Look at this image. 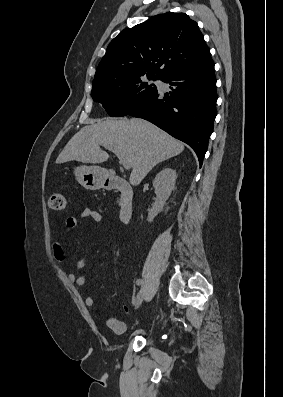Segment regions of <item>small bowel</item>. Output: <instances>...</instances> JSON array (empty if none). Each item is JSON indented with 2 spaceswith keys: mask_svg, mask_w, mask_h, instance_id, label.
<instances>
[{
  "mask_svg": "<svg viewBox=\"0 0 283 397\" xmlns=\"http://www.w3.org/2000/svg\"><path fill=\"white\" fill-rule=\"evenodd\" d=\"M80 219H90L91 221L95 223H100L102 220V215L100 212L93 210L91 208H82L80 210H77L73 215L66 217L62 223L61 227L62 229L66 231H71L73 230L77 224L78 220ZM52 254L53 258L57 262H62L65 259V251L64 248L59 240H56L53 242L52 245ZM87 265V262L85 259H80L76 262V269L80 270L85 268ZM67 279L70 283L76 286H84L87 282L86 277L81 276V275H76L75 273H68L67 274ZM132 303H135V297L132 298ZM85 305L87 307H94L95 305V299L92 296H87L85 298ZM125 311L128 313L129 309L127 306L124 307ZM94 314L97 316H100V312L95 310ZM106 325L117 335H121L125 332L126 330V325L124 322L120 321L119 319L115 317H110L106 320Z\"/></svg>",
  "mask_w": 283,
  "mask_h": 397,
  "instance_id": "1",
  "label": "small bowel"
}]
</instances>
